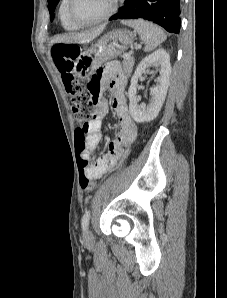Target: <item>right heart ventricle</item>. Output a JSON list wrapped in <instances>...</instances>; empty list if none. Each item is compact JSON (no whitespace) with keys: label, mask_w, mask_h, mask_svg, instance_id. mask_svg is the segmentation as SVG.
I'll use <instances>...</instances> for the list:
<instances>
[{"label":"right heart ventricle","mask_w":227,"mask_h":298,"mask_svg":"<svg viewBox=\"0 0 227 298\" xmlns=\"http://www.w3.org/2000/svg\"><path fill=\"white\" fill-rule=\"evenodd\" d=\"M66 7H67V0H62L59 6L58 14L61 21L62 26L67 30H76L79 28V26L73 24L66 13Z\"/></svg>","instance_id":"obj_1"}]
</instances>
